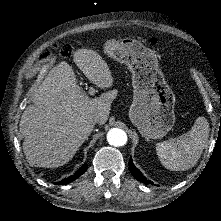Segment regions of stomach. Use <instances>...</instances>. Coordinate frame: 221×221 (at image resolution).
<instances>
[{
    "mask_svg": "<svg viewBox=\"0 0 221 221\" xmlns=\"http://www.w3.org/2000/svg\"><path fill=\"white\" fill-rule=\"evenodd\" d=\"M104 52L114 60L126 64L132 73L133 102L129 117L139 132L150 139L168 134L175 124V95L161 79L162 73L154 65L149 49L137 41H104Z\"/></svg>",
    "mask_w": 221,
    "mask_h": 221,
    "instance_id": "1",
    "label": "stomach"
}]
</instances>
